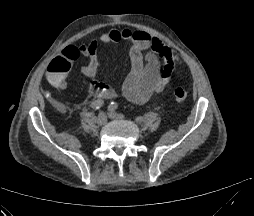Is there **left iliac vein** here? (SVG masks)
Segmentation results:
<instances>
[{
  "mask_svg": "<svg viewBox=\"0 0 254 216\" xmlns=\"http://www.w3.org/2000/svg\"><path fill=\"white\" fill-rule=\"evenodd\" d=\"M108 116H109V118H111V119H121V118H122V116H121L120 114H118V113H116V112H114V111H110V112L108 113Z\"/></svg>",
  "mask_w": 254,
  "mask_h": 216,
  "instance_id": "1",
  "label": "left iliac vein"
}]
</instances>
